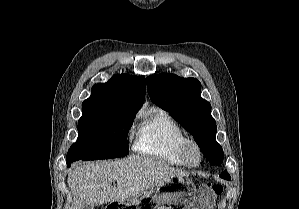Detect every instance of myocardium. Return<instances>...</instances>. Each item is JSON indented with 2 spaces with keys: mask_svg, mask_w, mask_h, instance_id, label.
I'll return each mask as SVG.
<instances>
[{
  "mask_svg": "<svg viewBox=\"0 0 299 209\" xmlns=\"http://www.w3.org/2000/svg\"><path fill=\"white\" fill-rule=\"evenodd\" d=\"M191 150H195L197 154V161L192 162L190 160V152ZM180 158L184 164V166L189 168H196L201 165L203 161V150L199 143L195 141L194 139L187 138L184 143L180 147Z\"/></svg>",
  "mask_w": 299,
  "mask_h": 209,
  "instance_id": "1",
  "label": "myocardium"
}]
</instances>
